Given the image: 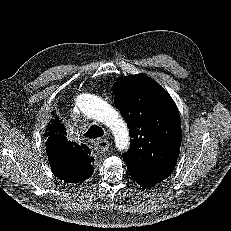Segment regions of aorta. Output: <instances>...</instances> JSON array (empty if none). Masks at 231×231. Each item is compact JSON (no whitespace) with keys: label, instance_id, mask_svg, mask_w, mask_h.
<instances>
[{"label":"aorta","instance_id":"1","mask_svg":"<svg viewBox=\"0 0 231 231\" xmlns=\"http://www.w3.org/2000/svg\"><path fill=\"white\" fill-rule=\"evenodd\" d=\"M75 102L76 106L86 116L110 128L119 150L127 149L130 144L127 125L111 105L102 98L89 93L78 95Z\"/></svg>","mask_w":231,"mask_h":231}]
</instances>
